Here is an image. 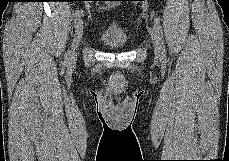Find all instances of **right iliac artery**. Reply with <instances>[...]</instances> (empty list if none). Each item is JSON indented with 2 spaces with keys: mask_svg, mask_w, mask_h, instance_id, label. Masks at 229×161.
I'll return each instance as SVG.
<instances>
[{
  "mask_svg": "<svg viewBox=\"0 0 229 161\" xmlns=\"http://www.w3.org/2000/svg\"><path fill=\"white\" fill-rule=\"evenodd\" d=\"M82 17V12L77 10L74 16V26L77 27L78 24L80 23V19ZM70 55V51H68V53L66 54V57L69 58Z\"/></svg>",
  "mask_w": 229,
  "mask_h": 161,
  "instance_id": "right-iliac-artery-1",
  "label": "right iliac artery"
}]
</instances>
